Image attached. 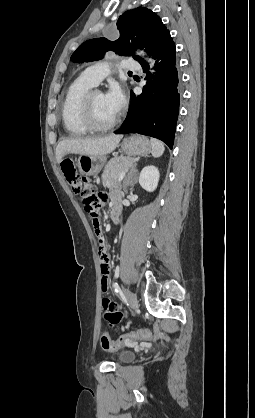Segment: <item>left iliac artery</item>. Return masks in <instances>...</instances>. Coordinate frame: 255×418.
Segmentation results:
<instances>
[{"mask_svg": "<svg viewBox=\"0 0 255 418\" xmlns=\"http://www.w3.org/2000/svg\"><path fill=\"white\" fill-rule=\"evenodd\" d=\"M113 288L115 289V292H117V293H120V287H119V285L115 282V283H113Z\"/></svg>", "mask_w": 255, "mask_h": 418, "instance_id": "1", "label": "left iliac artery"}]
</instances>
